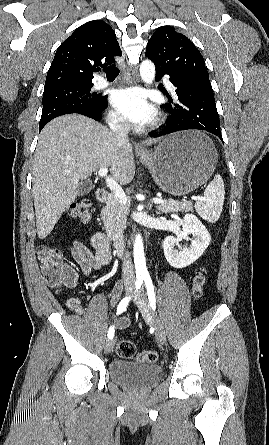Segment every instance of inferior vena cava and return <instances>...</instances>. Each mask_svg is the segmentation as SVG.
<instances>
[{
    "instance_id": "602c4592",
    "label": "inferior vena cava",
    "mask_w": 269,
    "mask_h": 445,
    "mask_svg": "<svg viewBox=\"0 0 269 445\" xmlns=\"http://www.w3.org/2000/svg\"><path fill=\"white\" fill-rule=\"evenodd\" d=\"M111 127L115 135L117 136L118 140L123 142L128 141L129 124L124 117L118 116L114 118L113 121L111 122ZM122 277L125 281L135 280L133 264L128 252H126L125 258L123 260Z\"/></svg>"
}]
</instances>
